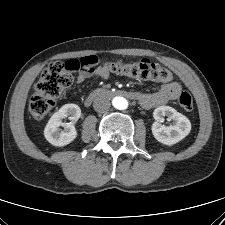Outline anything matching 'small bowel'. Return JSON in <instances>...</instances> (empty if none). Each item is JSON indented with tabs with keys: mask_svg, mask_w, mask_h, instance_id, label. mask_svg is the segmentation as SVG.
<instances>
[{
	"mask_svg": "<svg viewBox=\"0 0 225 225\" xmlns=\"http://www.w3.org/2000/svg\"><path fill=\"white\" fill-rule=\"evenodd\" d=\"M97 76L102 79H108L111 77L109 71L106 70L104 66L94 67L90 70H83L77 74V81L82 83L89 79L90 77ZM181 92V86L177 82H169L153 93H139V103L142 107L149 109L164 105L169 101L178 98Z\"/></svg>",
	"mask_w": 225,
	"mask_h": 225,
	"instance_id": "c3829d8e",
	"label": "small bowel"
}]
</instances>
